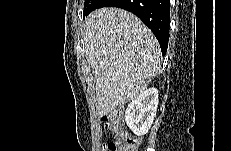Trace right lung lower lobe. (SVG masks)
Segmentation results:
<instances>
[{
	"label": "right lung lower lobe",
	"mask_w": 231,
	"mask_h": 151,
	"mask_svg": "<svg viewBox=\"0 0 231 151\" xmlns=\"http://www.w3.org/2000/svg\"><path fill=\"white\" fill-rule=\"evenodd\" d=\"M118 7L132 12L151 29L159 41L162 55L166 54L169 40V0H94L84 17L101 7Z\"/></svg>",
	"instance_id": "1"
}]
</instances>
